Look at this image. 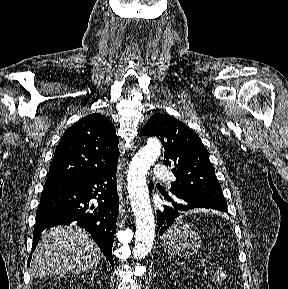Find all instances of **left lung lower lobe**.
<instances>
[{
    "mask_svg": "<svg viewBox=\"0 0 288 289\" xmlns=\"http://www.w3.org/2000/svg\"><path fill=\"white\" fill-rule=\"evenodd\" d=\"M154 187L153 183L150 182L149 189ZM176 200L171 199V205H164V211H157V231L159 235H162L165 230L175 221L177 217L182 215L184 212L193 209L205 208L214 209L217 211L228 212L227 208L211 202L206 198H201L192 195H181L174 194Z\"/></svg>",
    "mask_w": 288,
    "mask_h": 289,
    "instance_id": "left-lung-lower-lobe-1",
    "label": "left lung lower lobe"
}]
</instances>
